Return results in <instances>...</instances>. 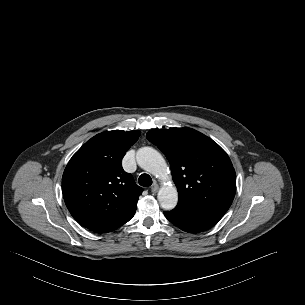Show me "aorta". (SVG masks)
Instances as JSON below:
<instances>
[{
	"mask_svg": "<svg viewBox=\"0 0 305 305\" xmlns=\"http://www.w3.org/2000/svg\"><path fill=\"white\" fill-rule=\"evenodd\" d=\"M138 165L147 172L162 178L167 176L168 167L162 155L151 147H142L136 153ZM158 201L164 210H172L178 202L174 185H163L158 192Z\"/></svg>",
	"mask_w": 305,
	"mask_h": 305,
	"instance_id": "762f6f07",
	"label": "aorta"
}]
</instances>
